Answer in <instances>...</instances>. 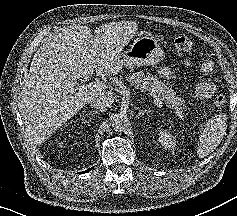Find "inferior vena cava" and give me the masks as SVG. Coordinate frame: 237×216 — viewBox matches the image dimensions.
<instances>
[{
  "mask_svg": "<svg viewBox=\"0 0 237 216\" xmlns=\"http://www.w3.org/2000/svg\"><path fill=\"white\" fill-rule=\"evenodd\" d=\"M114 98L106 95L103 91L97 92L90 97L87 104L101 113H105L113 105Z\"/></svg>",
  "mask_w": 237,
  "mask_h": 216,
  "instance_id": "602c4592",
  "label": "inferior vena cava"
}]
</instances>
